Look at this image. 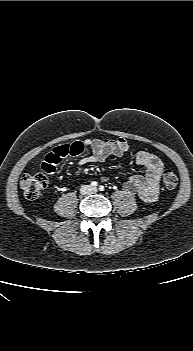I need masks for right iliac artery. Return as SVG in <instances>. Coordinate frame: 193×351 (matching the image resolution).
<instances>
[{
    "label": "right iliac artery",
    "mask_w": 193,
    "mask_h": 351,
    "mask_svg": "<svg viewBox=\"0 0 193 351\" xmlns=\"http://www.w3.org/2000/svg\"><path fill=\"white\" fill-rule=\"evenodd\" d=\"M97 185H98V183H97L96 181H92V182H91V186H92V187H96Z\"/></svg>",
    "instance_id": "obj_1"
}]
</instances>
